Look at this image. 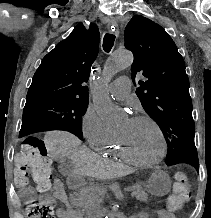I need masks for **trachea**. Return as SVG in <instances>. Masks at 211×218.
<instances>
[{
  "instance_id": "obj_1",
  "label": "trachea",
  "mask_w": 211,
  "mask_h": 218,
  "mask_svg": "<svg viewBox=\"0 0 211 218\" xmlns=\"http://www.w3.org/2000/svg\"><path fill=\"white\" fill-rule=\"evenodd\" d=\"M115 42V35L106 33L103 39V49L105 52H110Z\"/></svg>"
}]
</instances>
